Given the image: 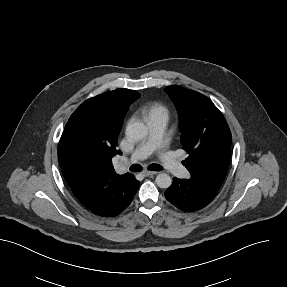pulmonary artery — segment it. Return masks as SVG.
I'll use <instances>...</instances> for the list:
<instances>
[{"label":"pulmonary artery","mask_w":287,"mask_h":287,"mask_svg":"<svg viewBox=\"0 0 287 287\" xmlns=\"http://www.w3.org/2000/svg\"><path fill=\"white\" fill-rule=\"evenodd\" d=\"M166 124L163 120L154 119L148 121V137L136 147L129 159L122 160L121 166H125L129 162L134 163L145 159L156 150L160 163L169 173L180 178L187 177L188 171L186 168L164 149V131Z\"/></svg>","instance_id":"1"}]
</instances>
